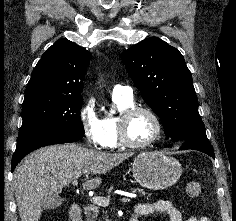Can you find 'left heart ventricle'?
Here are the masks:
<instances>
[{"label":"left heart ventricle","mask_w":236,"mask_h":221,"mask_svg":"<svg viewBox=\"0 0 236 221\" xmlns=\"http://www.w3.org/2000/svg\"><path fill=\"white\" fill-rule=\"evenodd\" d=\"M156 131V125L150 115L144 112L135 114L128 124V136L135 143H145Z\"/></svg>","instance_id":"1"}]
</instances>
